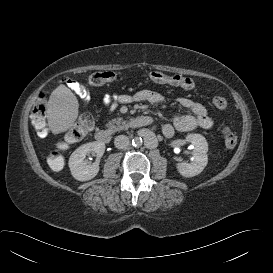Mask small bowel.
I'll use <instances>...</instances> for the list:
<instances>
[{
	"mask_svg": "<svg viewBox=\"0 0 273 273\" xmlns=\"http://www.w3.org/2000/svg\"><path fill=\"white\" fill-rule=\"evenodd\" d=\"M65 83L81 99L86 101L89 99V92L84 85L72 79H66ZM116 101L124 104H129L133 101L161 104L164 102V97L157 91L141 90L134 95L123 94L118 97L106 96L103 99V105L105 108H111ZM178 103L182 107L189 109L191 114L176 115L172 123H165L162 126V133L166 138H172L175 131L189 132L197 128L208 129L213 126L212 118L208 115L207 109L201 103L186 97H180Z\"/></svg>",
	"mask_w": 273,
	"mask_h": 273,
	"instance_id": "c3829d8e",
	"label": "small bowel"
}]
</instances>
